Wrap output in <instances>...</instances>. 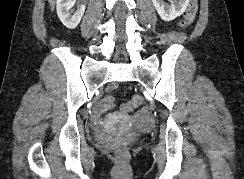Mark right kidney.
Returning a JSON list of instances; mask_svg holds the SVG:
<instances>
[{"mask_svg": "<svg viewBox=\"0 0 244 179\" xmlns=\"http://www.w3.org/2000/svg\"><path fill=\"white\" fill-rule=\"evenodd\" d=\"M75 2L76 0H57L56 2L58 18L59 20H61L62 24L66 26V28H69V30H74V28H77L85 12V6H83V4L79 6L76 12H74V10H71Z\"/></svg>", "mask_w": 244, "mask_h": 179, "instance_id": "1", "label": "right kidney"}]
</instances>
